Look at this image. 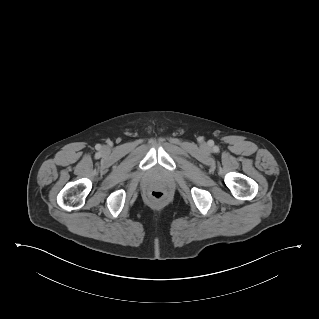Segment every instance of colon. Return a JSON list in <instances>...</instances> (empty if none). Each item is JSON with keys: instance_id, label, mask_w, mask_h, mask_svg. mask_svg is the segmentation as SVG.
I'll use <instances>...</instances> for the list:
<instances>
[{"instance_id": "colon-1", "label": "colon", "mask_w": 319, "mask_h": 319, "mask_svg": "<svg viewBox=\"0 0 319 319\" xmlns=\"http://www.w3.org/2000/svg\"><path fill=\"white\" fill-rule=\"evenodd\" d=\"M149 196L152 200L159 202L166 197V193L161 189H154L150 192Z\"/></svg>"}]
</instances>
